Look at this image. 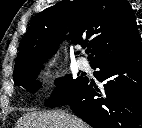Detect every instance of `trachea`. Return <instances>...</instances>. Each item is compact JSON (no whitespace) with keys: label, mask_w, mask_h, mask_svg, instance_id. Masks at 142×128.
<instances>
[{"label":"trachea","mask_w":142,"mask_h":128,"mask_svg":"<svg viewBox=\"0 0 142 128\" xmlns=\"http://www.w3.org/2000/svg\"><path fill=\"white\" fill-rule=\"evenodd\" d=\"M91 51H92V50H91L90 48L86 49V53H87V54L91 53Z\"/></svg>","instance_id":"obj_1"}]
</instances>
